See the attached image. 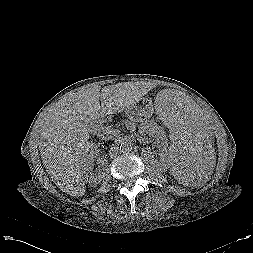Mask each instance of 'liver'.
Returning a JSON list of instances; mask_svg holds the SVG:
<instances>
[{"instance_id":"obj_1","label":"liver","mask_w":253,"mask_h":253,"mask_svg":"<svg viewBox=\"0 0 253 253\" xmlns=\"http://www.w3.org/2000/svg\"><path fill=\"white\" fill-rule=\"evenodd\" d=\"M151 88L141 82L117 83L102 89L94 85L68 96L44 118L38 128L42 162L63 192L73 197L86 192L83 165L94 123L107 114L125 111Z\"/></svg>"}]
</instances>
